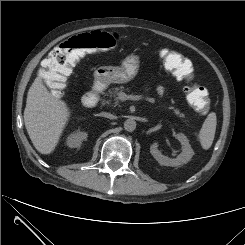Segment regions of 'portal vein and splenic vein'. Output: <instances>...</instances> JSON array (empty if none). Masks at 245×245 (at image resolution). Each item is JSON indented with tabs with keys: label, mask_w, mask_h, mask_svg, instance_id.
Returning a JSON list of instances; mask_svg holds the SVG:
<instances>
[{
	"label": "portal vein and splenic vein",
	"mask_w": 245,
	"mask_h": 245,
	"mask_svg": "<svg viewBox=\"0 0 245 245\" xmlns=\"http://www.w3.org/2000/svg\"><path fill=\"white\" fill-rule=\"evenodd\" d=\"M121 101H126V100H137L138 96L135 95H127L124 92H121L118 97Z\"/></svg>",
	"instance_id": "obj_1"
}]
</instances>
